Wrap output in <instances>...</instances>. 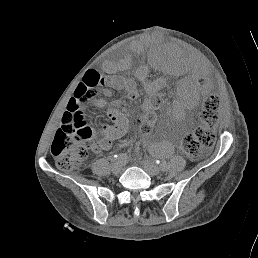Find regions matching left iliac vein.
<instances>
[{
  "label": "left iliac vein",
  "instance_id": "left-iliac-vein-1",
  "mask_svg": "<svg viewBox=\"0 0 258 258\" xmlns=\"http://www.w3.org/2000/svg\"><path fill=\"white\" fill-rule=\"evenodd\" d=\"M141 165L144 168V170L151 176H156L160 174V168L149 160H143L141 162Z\"/></svg>",
  "mask_w": 258,
  "mask_h": 258
}]
</instances>
